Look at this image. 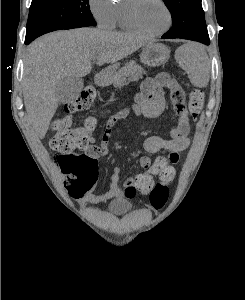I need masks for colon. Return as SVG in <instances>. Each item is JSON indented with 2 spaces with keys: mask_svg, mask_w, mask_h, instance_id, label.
I'll return each instance as SVG.
<instances>
[{
  "mask_svg": "<svg viewBox=\"0 0 245 300\" xmlns=\"http://www.w3.org/2000/svg\"><path fill=\"white\" fill-rule=\"evenodd\" d=\"M96 90L92 86L85 87L80 94L66 105V114L58 118L54 124V137L50 141L51 148L57 152L56 161L66 175L65 185L72 196H81L88 192L97 179L98 167L95 157L77 150H85L89 144L95 127V120L88 118L84 125L71 128V113L86 110L95 100ZM204 95L201 90L194 89L189 95V111L194 120L201 113ZM154 180L150 174H139L135 179L136 189L148 194L155 209H161L168 198V188L153 190Z\"/></svg>",
  "mask_w": 245,
  "mask_h": 300,
  "instance_id": "1",
  "label": "colon"
}]
</instances>
